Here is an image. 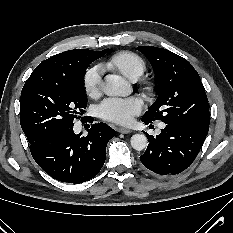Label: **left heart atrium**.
Masks as SVG:
<instances>
[{
	"instance_id": "obj_1",
	"label": "left heart atrium",
	"mask_w": 233,
	"mask_h": 233,
	"mask_svg": "<svg viewBox=\"0 0 233 233\" xmlns=\"http://www.w3.org/2000/svg\"><path fill=\"white\" fill-rule=\"evenodd\" d=\"M142 108L143 103L137 97L107 98L98 106V113L105 120L129 124Z\"/></svg>"
}]
</instances>
